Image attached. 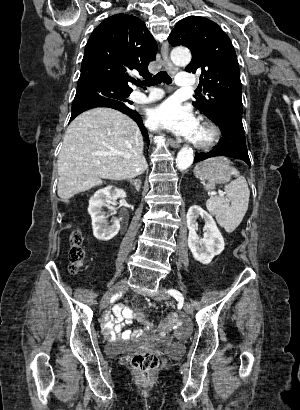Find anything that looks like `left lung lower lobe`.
<instances>
[{"label": "left lung lower lobe", "instance_id": "obj_1", "mask_svg": "<svg viewBox=\"0 0 300 410\" xmlns=\"http://www.w3.org/2000/svg\"><path fill=\"white\" fill-rule=\"evenodd\" d=\"M213 122L219 126L222 138L219 140L218 145L210 152L196 153L194 162L196 163L214 156H226L244 160L250 166L242 119L231 114H223Z\"/></svg>", "mask_w": 300, "mask_h": 410}]
</instances>
